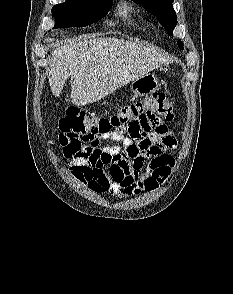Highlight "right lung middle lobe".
Segmentation results:
<instances>
[{
	"instance_id": "right-lung-middle-lobe-1",
	"label": "right lung middle lobe",
	"mask_w": 233,
	"mask_h": 294,
	"mask_svg": "<svg viewBox=\"0 0 233 294\" xmlns=\"http://www.w3.org/2000/svg\"><path fill=\"white\" fill-rule=\"evenodd\" d=\"M113 0H66L52 8L56 28L85 27L103 18Z\"/></svg>"
}]
</instances>
